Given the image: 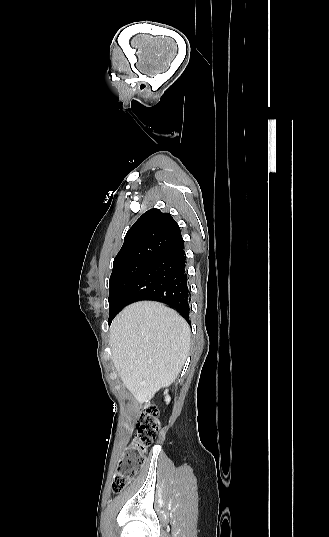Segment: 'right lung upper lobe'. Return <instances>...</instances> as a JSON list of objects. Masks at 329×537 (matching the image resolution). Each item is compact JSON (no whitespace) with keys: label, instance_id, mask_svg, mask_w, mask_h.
I'll return each mask as SVG.
<instances>
[{"label":"right lung upper lobe","instance_id":"1","mask_svg":"<svg viewBox=\"0 0 329 537\" xmlns=\"http://www.w3.org/2000/svg\"><path fill=\"white\" fill-rule=\"evenodd\" d=\"M182 240L180 228L169 213L150 209L128 230L113 270L132 261H153Z\"/></svg>","mask_w":329,"mask_h":537}]
</instances>
